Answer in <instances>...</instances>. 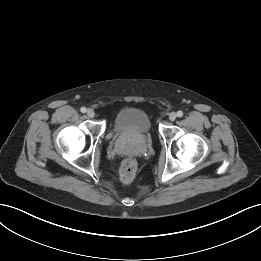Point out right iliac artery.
<instances>
[{"instance_id": "82829eb1", "label": "right iliac artery", "mask_w": 261, "mask_h": 261, "mask_svg": "<svg viewBox=\"0 0 261 261\" xmlns=\"http://www.w3.org/2000/svg\"><path fill=\"white\" fill-rule=\"evenodd\" d=\"M80 111H81L82 113H85V112L87 111V109H86L85 107H82V108L80 109Z\"/></svg>"}]
</instances>
